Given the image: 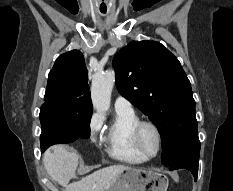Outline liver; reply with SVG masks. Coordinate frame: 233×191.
<instances>
[{"label": "liver", "instance_id": "obj_1", "mask_svg": "<svg viewBox=\"0 0 233 191\" xmlns=\"http://www.w3.org/2000/svg\"><path fill=\"white\" fill-rule=\"evenodd\" d=\"M79 155L64 145H56L43 155V164L48 175L65 191H102L109 186L128 166L113 165L99 169L92 174L69 184L76 178Z\"/></svg>", "mask_w": 233, "mask_h": 191}]
</instances>
